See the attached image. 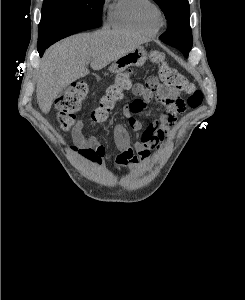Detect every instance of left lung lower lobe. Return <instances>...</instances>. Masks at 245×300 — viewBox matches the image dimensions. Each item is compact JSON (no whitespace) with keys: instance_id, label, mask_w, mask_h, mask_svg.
I'll list each match as a JSON object with an SVG mask.
<instances>
[{"instance_id":"obj_1","label":"left lung lower lobe","mask_w":245,"mask_h":300,"mask_svg":"<svg viewBox=\"0 0 245 300\" xmlns=\"http://www.w3.org/2000/svg\"><path fill=\"white\" fill-rule=\"evenodd\" d=\"M175 48L179 49L184 54L185 57H188V52L184 50V47L177 46Z\"/></svg>"}]
</instances>
